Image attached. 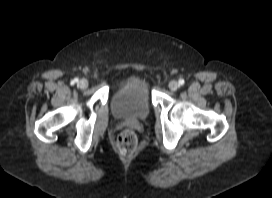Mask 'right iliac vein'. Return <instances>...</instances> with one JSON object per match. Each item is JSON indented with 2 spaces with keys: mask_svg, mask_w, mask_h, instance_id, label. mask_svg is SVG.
Returning a JSON list of instances; mask_svg holds the SVG:
<instances>
[{
  "mask_svg": "<svg viewBox=\"0 0 272 198\" xmlns=\"http://www.w3.org/2000/svg\"><path fill=\"white\" fill-rule=\"evenodd\" d=\"M78 86L81 88V89H84L88 86V81L86 79H81L79 82H78Z\"/></svg>",
  "mask_w": 272,
  "mask_h": 198,
  "instance_id": "right-iliac-vein-1",
  "label": "right iliac vein"
}]
</instances>
